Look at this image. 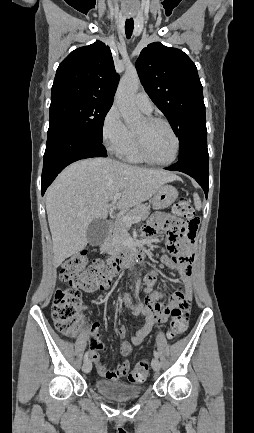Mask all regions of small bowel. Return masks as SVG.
Segmentation results:
<instances>
[{"instance_id": "small-bowel-1", "label": "small bowel", "mask_w": 254, "mask_h": 433, "mask_svg": "<svg viewBox=\"0 0 254 433\" xmlns=\"http://www.w3.org/2000/svg\"><path fill=\"white\" fill-rule=\"evenodd\" d=\"M179 227L167 219V215H156L152 218L143 229L144 241H152L156 233L162 229H171ZM182 250H173L172 256L163 255L160 260L166 267L175 270L183 280V285L179 290L170 296L168 302L163 301V294L160 291L153 289L156 278L158 276L157 270H151L144 277V304L134 303L129 296H126L125 301L133 315H142L145 318V324L142 328L137 330L132 336L131 341L125 339L127 330L125 327H120L117 334L120 337L119 351L123 356H130L132 346L140 345L145 337L150 333L155 325L167 322L170 309L175 305L180 298L190 300L191 295V280L193 277V261L194 254L191 250V245L187 242H181ZM111 281L101 284L98 289L106 290L110 287ZM100 324L93 323L90 336V351L91 359L96 365L97 371L100 376L108 380H118L126 376L129 372V362L124 361L120 363L115 369H108L101 360L100 351L106 349V346L100 340Z\"/></svg>"}]
</instances>
